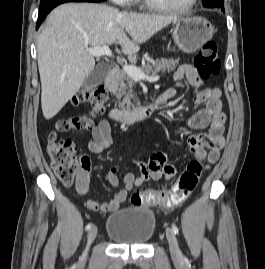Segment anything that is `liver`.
Instances as JSON below:
<instances>
[{
	"label": "liver",
	"mask_w": 265,
	"mask_h": 269,
	"mask_svg": "<svg viewBox=\"0 0 265 269\" xmlns=\"http://www.w3.org/2000/svg\"><path fill=\"white\" fill-rule=\"evenodd\" d=\"M175 16L120 12L106 5L66 3L48 16L37 40L44 117L53 118L95 68L86 47L120 43L132 55Z\"/></svg>",
	"instance_id": "obj_1"
}]
</instances>
